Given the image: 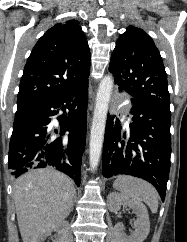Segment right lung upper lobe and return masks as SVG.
I'll list each match as a JSON object with an SVG mask.
<instances>
[{"label": "right lung upper lobe", "instance_id": "right-lung-upper-lobe-1", "mask_svg": "<svg viewBox=\"0 0 187 242\" xmlns=\"http://www.w3.org/2000/svg\"><path fill=\"white\" fill-rule=\"evenodd\" d=\"M90 50L76 20L58 23L34 46L21 78L17 106L88 82Z\"/></svg>", "mask_w": 187, "mask_h": 242}]
</instances>
